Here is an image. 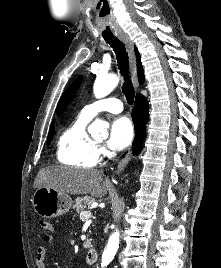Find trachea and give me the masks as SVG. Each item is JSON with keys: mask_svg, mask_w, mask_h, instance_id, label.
<instances>
[{"mask_svg": "<svg viewBox=\"0 0 221 268\" xmlns=\"http://www.w3.org/2000/svg\"><path fill=\"white\" fill-rule=\"evenodd\" d=\"M114 50L118 63V68L123 76L124 82L122 85V92L126 97L128 104H133L135 97V90L132 81L129 77V57L125 45L116 37L105 40Z\"/></svg>", "mask_w": 221, "mask_h": 268, "instance_id": "3493384b", "label": "trachea"}]
</instances>
